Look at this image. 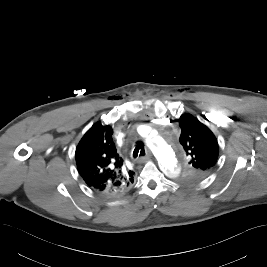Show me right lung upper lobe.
<instances>
[{"mask_svg":"<svg viewBox=\"0 0 267 267\" xmlns=\"http://www.w3.org/2000/svg\"><path fill=\"white\" fill-rule=\"evenodd\" d=\"M113 130L94 124L79 142L75 158L79 174L94 191L104 195L125 193L134 182V172L125 167L112 139Z\"/></svg>","mask_w":267,"mask_h":267,"instance_id":"right-lung-upper-lobe-1","label":"right lung upper lobe"}]
</instances>
